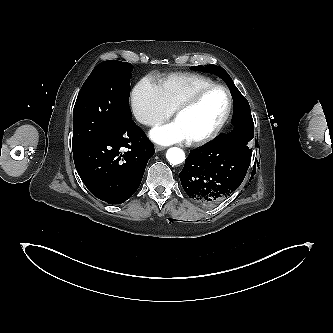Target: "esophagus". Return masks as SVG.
<instances>
[{
  "label": "esophagus",
  "mask_w": 333,
  "mask_h": 333,
  "mask_svg": "<svg viewBox=\"0 0 333 333\" xmlns=\"http://www.w3.org/2000/svg\"><path fill=\"white\" fill-rule=\"evenodd\" d=\"M164 149H165V147H163V146H159V145H156V146H155V151H156V152L162 151V150H164Z\"/></svg>",
  "instance_id": "1"
}]
</instances>
